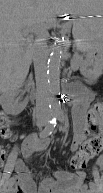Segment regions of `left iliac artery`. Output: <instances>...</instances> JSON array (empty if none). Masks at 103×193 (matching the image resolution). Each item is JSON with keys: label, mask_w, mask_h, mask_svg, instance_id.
Wrapping results in <instances>:
<instances>
[{"label": "left iliac artery", "mask_w": 103, "mask_h": 193, "mask_svg": "<svg viewBox=\"0 0 103 193\" xmlns=\"http://www.w3.org/2000/svg\"><path fill=\"white\" fill-rule=\"evenodd\" d=\"M57 119L60 121V122H64L65 118H64V114L62 112H58L57 113ZM95 187V184L93 182H90V188H94Z\"/></svg>", "instance_id": "1"}]
</instances>
